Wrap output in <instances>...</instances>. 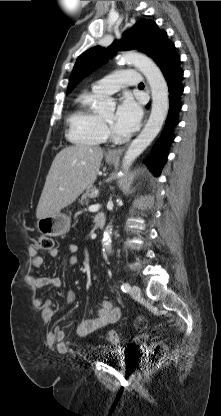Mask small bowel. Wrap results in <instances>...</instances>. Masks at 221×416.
I'll return each mask as SVG.
<instances>
[{
	"label": "small bowel",
	"mask_w": 221,
	"mask_h": 416,
	"mask_svg": "<svg viewBox=\"0 0 221 416\" xmlns=\"http://www.w3.org/2000/svg\"><path fill=\"white\" fill-rule=\"evenodd\" d=\"M68 258L67 262L69 265H76L79 260V247L75 243H69L67 245ZM59 253L58 249L54 248L51 250L52 256H57ZM43 264V258L38 254L37 249L33 248L31 251V268L29 272V279L36 288H58L61 286V280L58 277H36L35 269L39 268ZM66 300L68 303H72L75 300V294L73 291L69 290L66 295ZM35 303L42 309L43 316L46 319H51L55 312V304L51 299H44L42 297H37ZM121 312L118 307H116L110 300H102L99 304V309L97 315L91 319L80 322L76 326V333L80 337L88 336L92 333H95L105 327L108 324L115 323L120 318ZM64 331L62 329H57L55 331V336L57 340H62L64 338Z\"/></svg>",
	"instance_id": "small-bowel-1"
}]
</instances>
